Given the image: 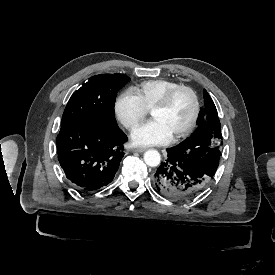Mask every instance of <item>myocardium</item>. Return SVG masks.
<instances>
[{"label":"myocardium","mask_w":275,"mask_h":275,"mask_svg":"<svg viewBox=\"0 0 275 275\" xmlns=\"http://www.w3.org/2000/svg\"><path fill=\"white\" fill-rule=\"evenodd\" d=\"M180 90H185L191 95L193 104H194V109H193V114L189 123L181 131H179L177 134H175L170 138V141L172 142L187 136L193 130V128L195 127L198 121L199 114H200V102L196 91L188 85H184V84L176 85L171 89H169L163 95V97L151 108V111H150V113L152 114L154 111H158L166 108L169 105L172 98L174 97V95Z\"/></svg>","instance_id":"1"}]
</instances>
